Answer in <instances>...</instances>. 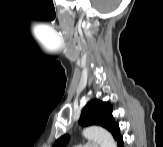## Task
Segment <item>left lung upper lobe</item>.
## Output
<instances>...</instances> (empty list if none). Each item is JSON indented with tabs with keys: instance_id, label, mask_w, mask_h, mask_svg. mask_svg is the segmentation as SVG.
Segmentation results:
<instances>
[{
	"instance_id": "left-lung-upper-lobe-1",
	"label": "left lung upper lobe",
	"mask_w": 163,
	"mask_h": 147,
	"mask_svg": "<svg viewBox=\"0 0 163 147\" xmlns=\"http://www.w3.org/2000/svg\"><path fill=\"white\" fill-rule=\"evenodd\" d=\"M79 124L83 126L99 125L107 129L115 138L119 132V125L112 116V105L108 102L91 100L83 108ZM68 136L60 137L53 147H64L68 142Z\"/></svg>"
}]
</instances>
